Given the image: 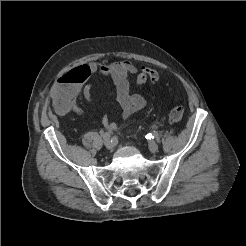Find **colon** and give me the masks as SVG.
<instances>
[{"label":"colon","mask_w":246,"mask_h":246,"mask_svg":"<svg viewBox=\"0 0 246 246\" xmlns=\"http://www.w3.org/2000/svg\"><path fill=\"white\" fill-rule=\"evenodd\" d=\"M159 78L160 76L155 69L146 65H142L140 72L137 75L136 81L139 85H143L148 81L158 82ZM169 116L173 122L181 121L184 116V108L182 106H174L171 109Z\"/></svg>","instance_id":"5ec220e1"}]
</instances>
